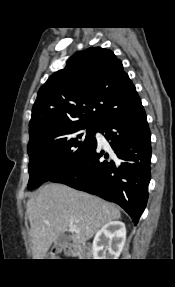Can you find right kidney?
Wrapping results in <instances>:
<instances>
[{
  "label": "right kidney",
  "mask_w": 175,
  "mask_h": 287,
  "mask_svg": "<svg viewBox=\"0 0 175 287\" xmlns=\"http://www.w3.org/2000/svg\"><path fill=\"white\" fill-rule=\"evenodd\" d=\"M126 240L125 224L111 221L96 233L92 253L94 259H118Z\"/></svg>",
  "instance_id": "right-kidney-1"
}]
</instances>
